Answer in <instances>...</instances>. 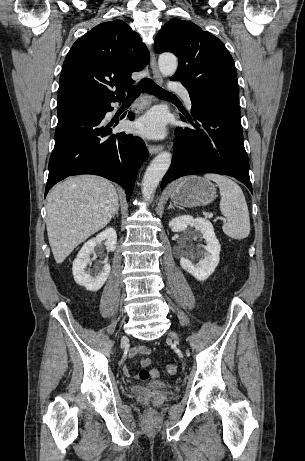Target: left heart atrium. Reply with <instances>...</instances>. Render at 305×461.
I'll use <instances>...</instances> for the list:
<instances>
[{"instance_id": "obj_1", "label": "left heart atrium", "mask_w": 305, "mask_h": 461, "mask_svg": "<svg viewBox=\"0 0 305 461\" xmlns=\"http://www.w3.org/2000/svg\"><path fill=\"white\" fill-rule=\"evenodd\" d=\"M134 128L138 133L147 137H162L166 129V116L159 110H153L140 118Z\"/></svg>"}]
</instances>
